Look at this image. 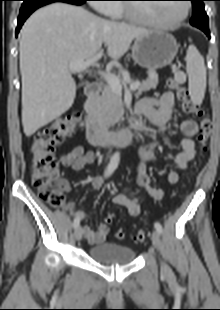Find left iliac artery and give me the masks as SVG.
I'll return each instance as SVG.
<instances>
[{"label":"left iliac artery","instance_id":"1","mask_svg":"<svg viewBox=\"0 0 220 310\" xmlns=\"http://www.w3.org/2000/svg\"><path fill=\"white\" fill-rule=\"evenodd\" d=\"M154 227H155V229L157 230V232L159 234H161L163 232L162 226H161V224L159 222H155L154 223Z\"/></svg>","mask_w":220,"mask_h":310}]
</instances>
